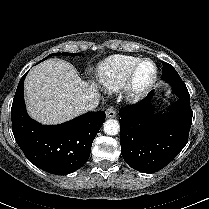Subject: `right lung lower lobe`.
<instances>
[{"instance_id":"obj_1","label":"right lung lower lobe","mask_w":209,"mask_h":209,"mask_svg":"<svg viewBox=\"0 0 209 209\" xmlns=\"http://www.w3.org/2000/svg\"><path fill=\"white\" fill-rule=\"evenodd\" d=\"M27 73L18 84L11 108L15 140L36 167L57 175L71 173L88 161L92 142L105 120V113L88 112L56 126L32 120L26 112L23 97Z\"/></svg>"}]
</instances>
